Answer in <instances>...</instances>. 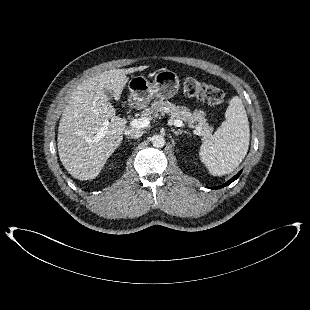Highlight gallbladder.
Here are the masks:
<instances>
[{
	"label": "gallbladder",
	"instance_id": "gallbladder-1",
	"mask_svg": "<svg viewBox=\"0 0 310 310\" xmlns=\"http://www.w3.org/2000/svg\"><path fill=\"white\" fill-rule=\"evenodd\" d=\"M105 94L109 99H112L114 93L111 90L105 89Z\"/></svg>",
	"mask_w": 310,
	"mask_h": 310
}]
</instances>
